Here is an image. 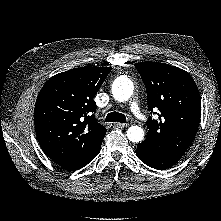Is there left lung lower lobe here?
I'll return each instance as SVG.
<instances>
[{
  "label": "left lung lower lobe",
  "mask_w": 221,
  "mask_h": 221,
  "mask_svg": "<svg viewBox=\"0 0 221 221\" xmlns=\"http://www.w3.org/2000/svg\"><path fill=\"white\" fill-rule=\"evenodd\" d=\"M136 155L147 166L157 170H164L170 168L178 162L177 160L160 156L146 149L145 147L140 145V143L137 145Z\"/></svg>",
  "instance_id": "obj_1"
}]
</instances>
